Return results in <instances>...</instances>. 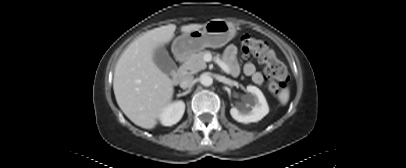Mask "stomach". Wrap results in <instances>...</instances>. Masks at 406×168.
I'll list each match as a JSON object with an SVG mask.
<instances>
[{"label": "stomach", "instance_id": "0dacf381", "mask_svg": "<svg viewBox=\"0 0 406 168\" xmlns=\"http://www.w3.org/2000/svg\"><path fill=\"white\" fill-rule=\"evenodd\" d=\"M235 35L236 27L233 23L213 19L208 21L202 30H193L176 38L172 44V51L178 58L187 57L206 47H222Z\"/></svg>", "mask_w": 406, "mask_h": 168}]
</instances>
